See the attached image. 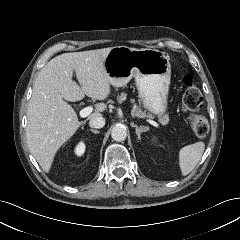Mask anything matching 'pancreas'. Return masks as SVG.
Here are the masks:
<instances>
[{"instance_id": "pancreas-1", "label": "pancreas", "mask_w": 240, "mask_h": 240, "mask_svg": "<svg viewBox=\"0 0 240 240\" xmlns=\"http://www.w3.org/2000/svg\"><path fill=\"white\" fill-rule=\"evenodd\" d=\"M126 93H121L119 96H118V102L119 103H122L125 99H126ZM133 114L136 116V117H139V118H143V117H152L151 114H146V112L142 111L141 107H138V106H134L133 108ZM160 121L162 123H166L168 121V117L166 115L164 116H161L160 117Z\"/></svg>"}]
</instances>
